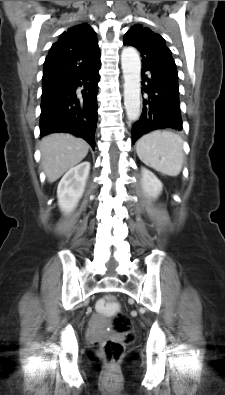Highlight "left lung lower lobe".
Segmentation results:
<instances>
[{"mask_svg": "<svg viewBox=\"0 0 225 395\" xmlns=\"http://www.w3.org/2000/svg\"><path fill=\"white\" fill-rule=\"evenodd\" d=\"M145 72H149L145 75ZM143 110L132 128L133 144L142 135L162 128L182 130L178 76L161 71L142 69ZM146 82V84H144Z\"/></svg>", "mask_w": 225, "mask_h": 395, "instance_id": "left-lung-lower-lobe-1", "label": "left lung lower lobe"}]
</instances>
